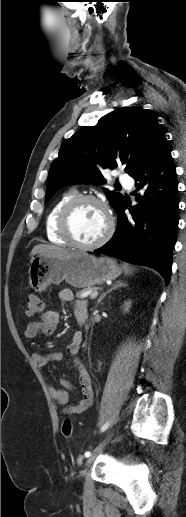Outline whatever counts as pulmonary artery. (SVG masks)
Returning <instances> with one entry per match:
<instances>
[{"label":"pulmonary artery","mask_w":186,"mask_h":517,"mask_svg":"<svg viewBox=\"0 0 186 517\" xmlns=\"http://www.w3.org/2000/svg\"><path fill=\"white\" fill-rule=\"evenodd\" d=\"M118 179H119V182H120L121 184H123L124 186H126V187H127V188H129V189H130V188L132 187V185H133V181H132V179H131L128 175H126V174H121V175H119V178H118Z\"/></svg>","instance_id":"obj_1"}]
</instances>
